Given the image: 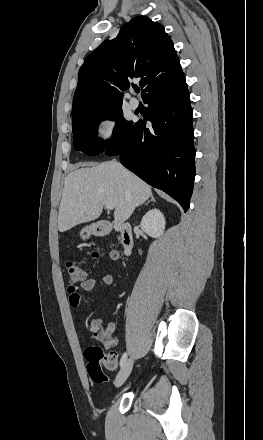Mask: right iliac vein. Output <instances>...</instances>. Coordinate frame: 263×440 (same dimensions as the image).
I'll return each instance as SVG.
<instances>
[{"label": "right iliac vein", "instance_id": "obj_1", "mask_svg": "<svg viewBox=\"0 0 263 440\" xmlns=\"http://www.w3.org/2000/svg\"><path fill=\"white\" fill-rule=\"evenodd\" d=\"M132 368H133V358L131 357L124 363L121 370L116 376V379L114 381V385L116 388H119L124 384L128 376L130 375Z\"/></svg>", "mask_w": 263, "mask_h": 440}]
</instances>
